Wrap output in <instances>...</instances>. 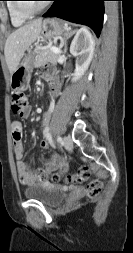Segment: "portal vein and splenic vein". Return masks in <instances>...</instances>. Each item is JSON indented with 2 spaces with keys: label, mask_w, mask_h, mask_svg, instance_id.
I'll list each match as a JSON object with an SVG mask.
<instances>
[{
  "label": "portal vein and splenic vein",
  "mask_w": 133,
  "mask_h": 253,
  "mask_svg": "<svg viewBox=\"0 0 133 253\" xmlns=\"http://www.w3.org/2000/svg\"><path fill=\"white\" fill-rule=\"evenodd\" d=\"M51 50L56 53V54H60L61 53V50L57 47H51Z\"/></svg>",
  "instance_id": "obj_1"
}]
</instances>
